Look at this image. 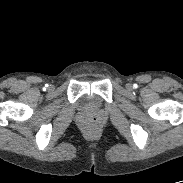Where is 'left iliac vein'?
Masks as SVG:
<instances>
[{"label": "left iliac vein", "mask_w": 183, "mask_h": 183, "mask_svg": "<svg viewBox=\"0 0 183 183\" xmlns=\"http://www.w3.org/2000/svg\"><path fill=\"white\" fill-rule=\"evenodd\" d=\"M126 87H127V89H129V90L132 89V85H131V84H127Z\"/></svg>", "instance_id": "1"}]
</instances>
